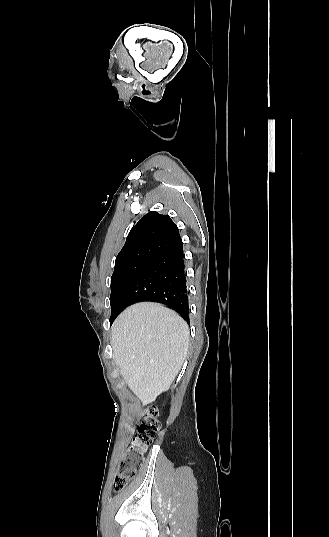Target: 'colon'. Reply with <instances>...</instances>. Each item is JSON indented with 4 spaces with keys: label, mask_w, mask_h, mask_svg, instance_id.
<instances>
[{
    "label": "colon",
    "mask_w": 329,
    "mask_h": 537,
    "mask_svg": "<svg viewBox=\"0 0 329 537\" xmlns=\"http://www.w3.org/2000/svg\"><path fill=\"white\" fill-rule=\"evenodd\" d=\"M156 414V408L150 407L147 415L139 423L137 433L128 445L113 478L112 487L115 492L122 491L136 477L147 449L160 429Z\"/></svg>",
    "instance_id": "obj_1"
}]
</instances>
